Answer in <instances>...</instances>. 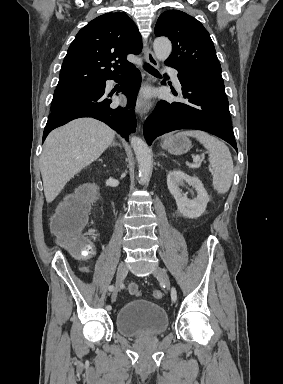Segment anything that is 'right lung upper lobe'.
I'll use <instances>...</instances> for the list:
<instances>
[{
    "instance_id": "right-lung-upper-lobe-1",
    "label": "right lung upper lobe",
    "mask_w": 283,
    "mask_h": 384,
    "mask_svg": "<svg viewBox=\"0 0 283 384\" xmlns=\"http://www.w3.org/2000/svg\"><path fill=\"white\" fill-rule=\"evenodd\" d=\"M141 50L138 28L125 13L101 15L77 33L63 61L56 90L117 80L134 69L126 56Z\"/></svg>"
}]
</instances>
